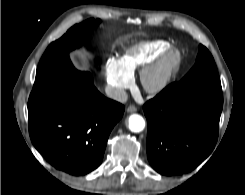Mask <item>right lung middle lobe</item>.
I'll return each mask as SVG.
<instances>
[{"label": "right lung middle lobe", "instance_id": "1", "mask_svg": "<svg viewBox=\"0 0 245 195\" xmlns=\"http://www.w3.org/2000/svg\"><path fill=\"white\" fill-rule=\"evenodd\" d=\"M99 22L98 19H89L74 25L59 40L48 46L39 62L33 90L41 89L71 75L89 73L80 72L74 68L69 52L80 47L87 32L96 27Z\"/></svg>", "mask_w": 245, "mask_h": 195}]
</instances>
